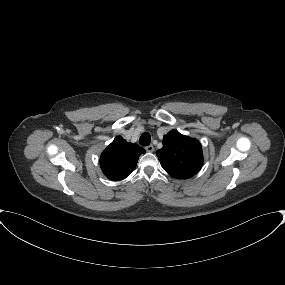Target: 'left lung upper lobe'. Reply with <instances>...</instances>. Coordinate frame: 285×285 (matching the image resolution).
<instances>
[{"instance_id": "obj_1", "label": "left lung upper lobe", "mask_w": 285, "mask_h": 285, "mask_svg": "<svg viewBox=\"0 0 285 285\" xmlns=\"http://www.w3.org/2000/svg\"><path fill=\"white\" fill-rule=\"evenodd\" d=\"M163 169L176 179L195 175L203 165L202 147L198 140L176 130L163 137V148L156 152Z\"/></svg>"}]
</instances>
